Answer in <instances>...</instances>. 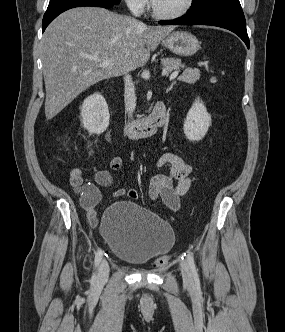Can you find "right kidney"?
Wrapping results in <instances>:
<instances>
[{"instance_id": "1", "label": "right kidney", "mask_w": 285, "mask_h": 332, "mask_svg": "<svg viewBox=\"0 0 285 332\" xmlns=\"http://www.w3.org/2000/svg\"><path fill=\"white\" fill-rule=\"evenodd\" d=\"M84 128L90 134H101L109 126L110 114L104 97L98 93L88 96L81 107Z\"/></svg>"}]
</instances>
